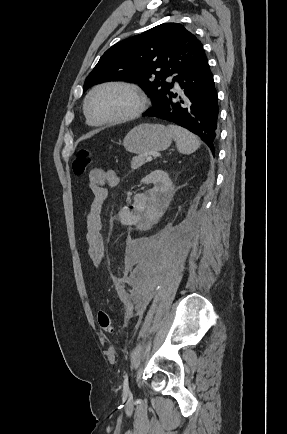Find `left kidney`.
Instances as JSON below:
<instances>
[{"instance_id": "1", "label": "left kidney", "mask_w": 287, "mask_h": 434, "mask_svg": "<svg viewBox=\"0 0 287 434\" xmlns=\"http://www.w3.org/2000/svg\"><path fill=\"white\" fill-rule=\"evenodd\" d=\"M142 182L145 184H154V188L149 190L146 194H137L135 196V208L133 211H129L127 208H123L120 211L119 218L122 224H138L143 216L146 215V210L165 205L172 196V182L169 175L162 170L153 171L143 178Z\"/></svg>"}]
</instances>
